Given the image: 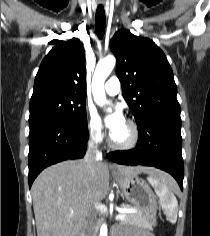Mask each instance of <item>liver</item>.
Masks as SVG:
<instances>
[{"label":"liver","instance_id":"1","mask_svg":"<svg viewBox=\"0 0 210 236\" xmlns=\"http://www.w3.org/2000/svg\"><path fill=\"white\" fill-rule=\"evenodd\" d=\"M126 177L147 173L172 180L153 167L113 166ZM37 236H78L93 205L109 191V167L98 161L91 171L84 160L63 161L46 168L32 185Z\"/></svg>","mask_w":210,"mask_h":236}]
</instances>
